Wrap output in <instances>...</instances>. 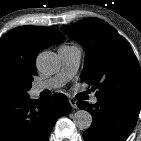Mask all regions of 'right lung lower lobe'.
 Returning <instances> with one entry per match:
<instances>
[{
    "label": "right lung lower lobe",
    "instance_id": "obj_1",
    "mask_svg": "<svg viewBox=\"0 0 141 141\" xmlns=\"http://www.w3.org/2000/svg\"><path fill=\"white\" fill-rule=\"evenodd\" d=\"M70 110L64 94L38 101L29 95L0 99V141H48L57 119Z\"/></svg>",
    "mask_w": 141,
    "mask_h": 141
}]
</instances>
